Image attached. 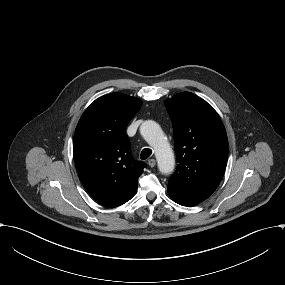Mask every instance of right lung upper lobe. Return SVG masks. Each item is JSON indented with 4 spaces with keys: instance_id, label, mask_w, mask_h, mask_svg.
<instances>
[{
    "instance_id": "obj_1",
    "label": "right lung upper lobe",
    "mask_w": 285,
    "mask_h": 285,
    "mask_svg": "<svg viewBox=\"0 0 285 285\" xmlns=\"http://www.w3.org/2000/svg\"><path fill=\"white\" fill-rule=\"evenodd\" d=\"M142 101L121 93L96 99L81 116L74 135L79 177L100 204L116 207L136 193L146 164L132 157L126 127Z\"/></svg>"
}]
</instances>
